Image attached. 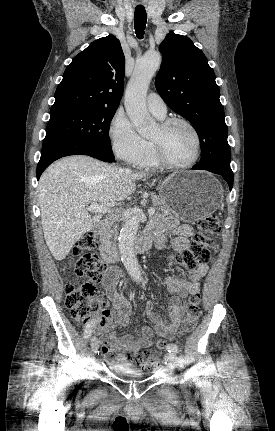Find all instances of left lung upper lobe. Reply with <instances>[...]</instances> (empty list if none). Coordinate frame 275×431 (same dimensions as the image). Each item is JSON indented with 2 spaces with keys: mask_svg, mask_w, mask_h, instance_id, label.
<instances>
[{
  "mask_svg": "<svg viewBox=\"0 0 275 431\" xmlns=\"http://www.w3.org/2000/svg\"><path fill=\"white\" fill-rule=\"evenodd\" d=\"M159 50L162 65L155 86L166 104L194 125L202 152L197 166L230 167L224 109L206 56L188 37L173 32Z\"/></svg>",
  "mask_w": 275,
  "mask_h": 431,
  "instance_id": "obj_1",
  "label": "left lung upper lobe"
}]
</instances>
